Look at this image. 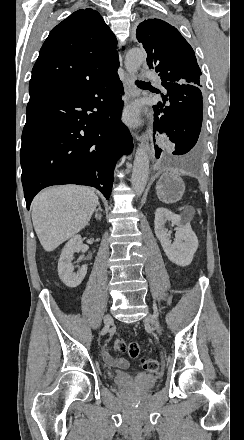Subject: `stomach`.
Instances as JSON below:
<instances>
[{
  "instance_id": "0dacf381",
  "label": "stomach",
  "mask_w": 244,
  "mask_h": 440,
  "mask_svg": "<svg viewBox=\"0 0 244 440\" xmlns=\"http://www.w3.org/2000/svg\"><path fill=\"white\" fill-rule=\"evenodd\" d=\"M156 190L161 202H164V204H175V202L182 200L185 184L180 174L164 170L157 182Z\"/></svg>"
}]
</instances>
